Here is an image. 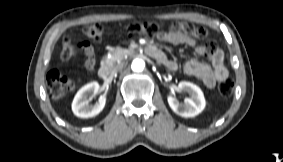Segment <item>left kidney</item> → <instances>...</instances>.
<instances>
[{
	"label": "left kidney",
	"instance_id": "obj_1",
	"mask_svg": "<svg viewBox=\"0 0 283 162\" xmlns=\"http://www.w3.org/2000/svg\"><path fill=\"white\" fill-rule=\"evenodd\" d=\"M181 91L189 94L184 103H180L175 97H167L170 108L179 116L190 118L201 113L206 105L202 90L195 84L187 81H181L178 85Z\"/></svg>",
	"mask_w": 283,
	"mask_h": 162
}]
</instances>
